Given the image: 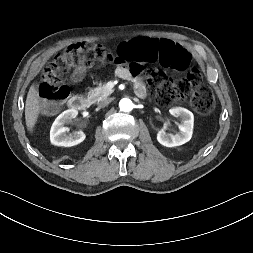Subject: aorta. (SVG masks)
<instances>
[{
    "label": "aorta",
    "instance_id": "762f6f07",
    "mask_svg": "<svg viewBox=\"0 0 253 253\" xmlns=\"http://www.w3.org/2000/svg\"><path fill=\"white\" fill-rule=\"evenodd\" d=\"M120 110L123 112H129L133 109V103L128 98H123L119 102Z\"/></svg>",
    "mask_w": 253,
    "mask_h": 253
}]
</instances>
